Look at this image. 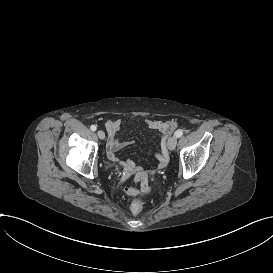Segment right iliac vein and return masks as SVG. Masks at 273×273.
<instances>
[{
  "label": "right iliac vein",
  "mask_w": 273,
  "mask_h": 273,
  "mask_svg": "<svg viewBox=\"0 0 273 273\" xmlns=\"http://www.w3.org/2000/svg\"><path fill=\"white\" fill-rule=\"evenodd\" d=\"M97 135H98V137H99L100 139H104V138H105V133H104L102 130H99V131L97 132Z\"/></svg>",
  "instance_id": "right-iliac-vein-1"
}]
</instances>
